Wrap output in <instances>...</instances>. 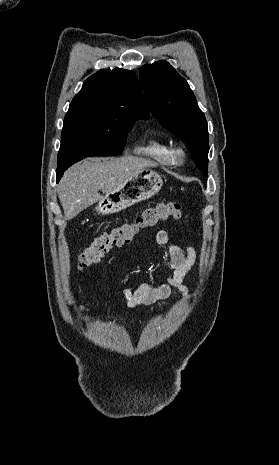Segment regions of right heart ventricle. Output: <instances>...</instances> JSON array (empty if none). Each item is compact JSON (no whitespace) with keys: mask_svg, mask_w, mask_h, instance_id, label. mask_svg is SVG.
<instances>
[{"mask_svg":"<svg viewBox=\"0 0 279 465\" xmlns=\"http://www.w3.org/2000/svg\"><path fill=\"white\" fill-rule=\"evenodd\" d=\"M136 151L164 165L174 162L170 145L158 135L151 136L145 143L137 146Z\"/></svg>","mask_w":279,"mask_h":465,"instance_id":"e07e8e85","label":"right heart ventricle"}]
</instances>
